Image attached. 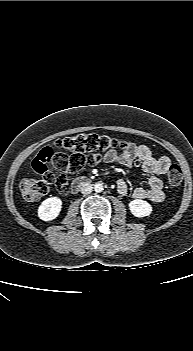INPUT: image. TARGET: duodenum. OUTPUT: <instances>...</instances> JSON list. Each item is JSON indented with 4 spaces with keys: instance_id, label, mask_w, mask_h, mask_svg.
Returning a JSON list of instances; mask_svg holds the SVG:
<instances>
[{
    "instance_id": "1",
    "label": "duodenum",
    "mask_w": 193,
    "mask_h": 351,
    "mask_svg": "<svg viewBox=\"0 0 193 351\" xmlns=\"http://www.w3.org/2000/svg\"><path fill=\"white\" fill-rule=\"evenodd\" d=\"M88 179L85 177H78L76 178L71 184V192L74 193L78 191L82 186L86 185Z\"/></svg>"
}]
</instances>
